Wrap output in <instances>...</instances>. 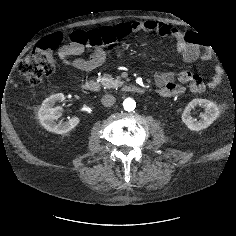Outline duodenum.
<instances>
[{"instance_id":"duodenum-1","label":"duodenum","mask_w":236,"mask_h":236,"mask_svg":"<svg viewBox=\"0 0 236 236\" xmlns=\"http://www.w3.org/2000/svg\"><path fill=\"white\" fill-rule=\"evenodd\" d=\"M84 89L89 92H100L101 91V85L99 82L95 80H89L84 84ZM124 90L130 93H137L141 94L144 92V89L140 86L129 84L124 87Z\"/></svg>"}]
</instances>
